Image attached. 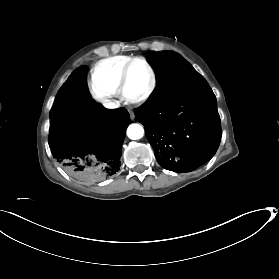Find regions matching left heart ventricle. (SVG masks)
Listing matches in <instances>:
<instances>
[{
	"label": "left heart ventricle",
	"mask_w": 279,
	"mask_h": 279,
	"mask_svg": "<svg viewBox=\"0 0 279 279\" xmlns=\"http://www.w3.org/2000/svg\"><path fill=\"white\" fill-rule=\"evenodd\" d=\"M151 75L147 67L136 62L132 65L127 79V93L130 97L142 96L150 87Z\"/></svg>",
	"instance_id": "b2bd125f"
}]
</instances>
